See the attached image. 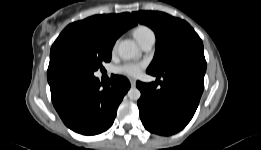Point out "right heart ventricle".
<instances>
[{
	"label": "right heart ventricle",
	"mask_w": 261,
	"mask_h": 150,
	"mask_svg": "<svg viewBox=\"0 0 261 150\" xmlns=\"http://www.w3.org/2000/svg\"><path fill=\"white\" fill-rule=\"evenodd\" d=\"M152 32L147 26L140 25L133 31V35L138 42H140L148 33Z\"/></svg>",
	"instance_id": "e07e8e85"
}]
</instances>
